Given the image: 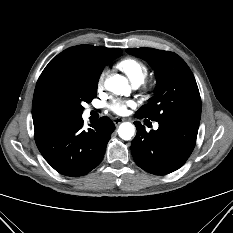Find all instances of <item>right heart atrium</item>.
<instances>
[{"mask_svg": "<svg viewBox=\"0 0 233 233\" xmlns=\"http://www.w3.org/2000/svg\"><path fill=\"white\" fill-rule=\"evenodd\" d=\"M106 76V72H101L98 79H97V83H96V88L98 91H101L104 87V79Z\"/></svg>", "mask_w": 233, "mask_h": 233, "instance_id": "right-heart-atrium-1", "label": "right heart atrium"}]
</instances>
